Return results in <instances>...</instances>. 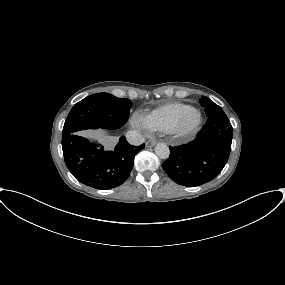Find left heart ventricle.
I'll return each mask as SVG.
<instances>
[{"label": "left heart ventricle", "mask_w": 285, "mask_h": 285, "mask_svg": "<svg viewBox=\"0 0 285 285\" xmlns=\"http://www.w3.org/2000/svg\"><path fill=\"white\" fill-rule=\"evenodd\" d=\"M195 120H196V116L194 114H192L190 116V119H189V124H193L195 122Z\"/></svg>", "instance_id": "1"}]
</instances>
